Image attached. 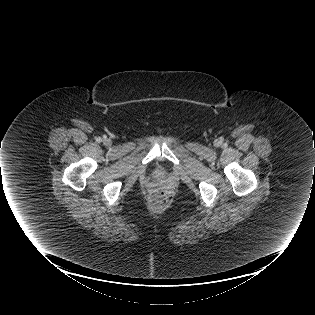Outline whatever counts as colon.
I'll use <instances>...</instances> for the list:
<instances>
[{"mask_svg":"<svg viewBox=\"0 0 315 315\" xmlns=\"http://www.w3.org/2000/svg\"><path fill=\"white\" fill-rule=\"evenodd\" d=\"M149 201L153 207L160 208L166 203L167 194L162 188L155 187L150 192Z\"/></svg>","mask_w":315,"mask_h":315,"instance_id":"1","label":"colon"}]
</instances>
